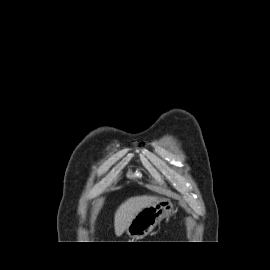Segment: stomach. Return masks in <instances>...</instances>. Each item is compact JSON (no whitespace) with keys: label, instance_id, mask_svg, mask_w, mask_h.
Here are the masks:
<instances>
[{"label":"stomach","instance_id":"stomach-1","mask_svg":"<svg viewBox=\"0 0 270 270\" xmlns=\"http://www.w3.org/2000/svg\"><path fill=\"white\" fill-rule=\"evenodd\" d=\"M174 213L175 210L171 201L158 199L137 213L125 232L130 238L142 239L148 235L163 218Z\"/></svg>","mask_w":270,"mask_h":270}]
</instances>
